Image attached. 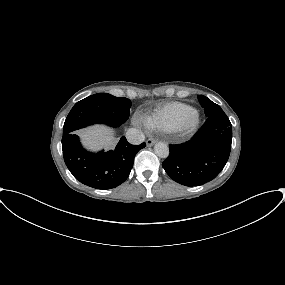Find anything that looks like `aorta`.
I'll return each mask as SVG.
<instances>
[{
    "label": "aorta",
    "mask_w": 285,
    "mask_h": 285,
    "mask_svg": "<svg viewBox=\"0 0 285 285\" xmlns=\"http://www.w3.org/2000/svg\"><path fill=\"white\" fill-rule=\"evenodd\" d=\"M155 154L160 158H167L169 156V148L167 144L158 142L154 146Z\"/></svg>",
    "instance_id": "762f6f07"
}]
</instances>
